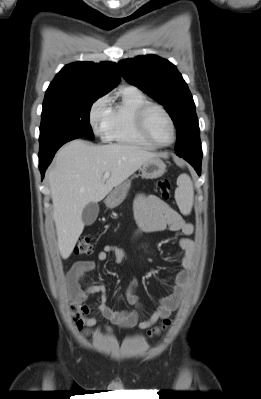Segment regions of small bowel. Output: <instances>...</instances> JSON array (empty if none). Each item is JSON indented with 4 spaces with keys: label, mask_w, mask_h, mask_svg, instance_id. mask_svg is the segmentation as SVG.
I'll return each mask as SVG.
<instances>
[{
    "label": "small bowel",
    "mask_w": 261,
    "mask_h": 399,
    "mask_svg": "<svg viewBox=\"0 0 261 399\" xmlns=\"http://www.w3.org/2000/svg\"><path fill=\"white\" fill-rule=\"evenodd\" d=\"M134 215L138 222L135 237L146 232H159L170 229L180 232L177 244L183 251L181 256L182 269L174 276L169 293L160 299L158 307L150 313L149 317L140 321L139 300L134 289L138 283L134 279L126 292V300L136 308L132 310H114L107 304V292L103 284H95L83 287V281L88 272L95 268L93 260H81L74 263L66 275V284L73 301L84 303L92 294L100 295L98 310L100 315L112 324L123 327L148 329L158 321L169 317L180 305L189 286V274L193 266L195 244L188 236L193 233V226L187 223L179 212L166 201L156 195L140 193L134 201ZM111 255L115 263L119 264L129 259L128 253L117 246L106 245L97 254V260L103 262ZM84 324L87 328L98 325L96 317H85ZM108 331L111 330L106 326ZM86 333H89L87 330Z\"/></svg>",
    "instance_id": "1"
}]
</instances>
